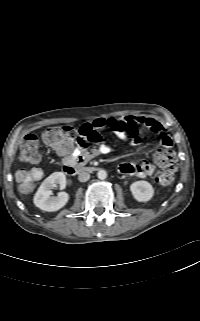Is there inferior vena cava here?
Instances as JSON below:
<instances>
[{"instance_id": "obj_1", "label": "inferior vena cava", "mask_w": 200, "mask_h": 321, "mask_svg": "<svg viewBox=\"0 0 200 321\" xmlns=\"http://www.w3.org/2000/svg\"><path fill=\"white\" fill-rule=\"evenodd\" d=\"M90 179V174L88 172L79 173L78 180L80 182H86Z\"/></svg>"}]
</instances>
